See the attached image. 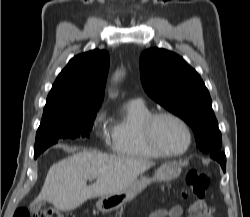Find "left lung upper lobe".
I'll return each instance as SVG.
<instances>
[{
    "instance_id": "1",
    "label": "left lung upper lobe",
    "mask_w": 250,
    "mask_h": 217,
    "mask_svg": "<svg viewBox=\"0 0 250 217\" xmlns=\"http://www.w3.org/2000/svg\"><path fill=\"white\" fill-rule=\"evenodd\" d=\"M140 71L146 93L191 126L197 148L207 154L220 152L221 132L200 75L182 57L161 48L142 53Z\"/></svg>"
}]
</instances>
